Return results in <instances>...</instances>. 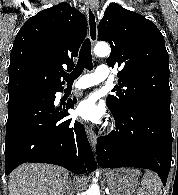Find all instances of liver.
<instances>
[{
    "mask_svg": "<svg viewBox=\"0 0 178 195\" xmlns=\"http://www.w3.org/2000/svg\"><path fill=\"white\" fill-rule=\"evenodd\" d=\"M69 172L49 164H22L9 178V195H64Z\"/></svg>",
    "mask_w": 178,
    "mask_h": 195,
    "instance_id": "1",
    "label": "liver"
}]
</instances>
